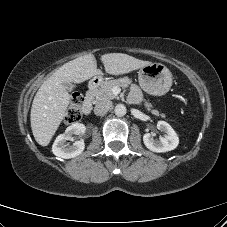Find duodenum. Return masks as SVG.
<instances>
[{"label": "duodenum", "mask_w": 227, "mask_h": 227, "mask_svg": "<svg viewBox=\"0 0 227 227\" xmlns=\"http://www.w3.org/2000/svg\"><path fill=\"white\" fill-rule=\"evenodd\" d=\"M102 81L103 76H96L90 81L87 96L82 105V111L85 115H89L91 113L93 107V93Z\"/></svg>", "instance_id": "1"}]
</instances>
